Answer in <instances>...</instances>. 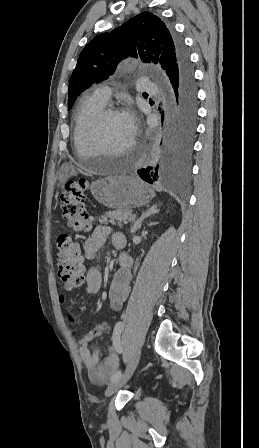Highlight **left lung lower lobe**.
<instances>
[{"label":"left lung lower lobe","mask_w":259,"mask_h":448,"mask_svg":"<svg viewBox=\"0 0 259 448\" xmlns=\"http://www.w3.org/2000/svg\"><path fill=\"white\" fill-rule=\"evenodd\" d=\"M180 54L166 70L176 96L166 148L158 161L137 171L146 182L168 190H180L188 181L196 131L197 91L189 56L180 38L175 37ZM163 119V116H162Z\"/></svg>","instance_id":"obj_1"}]
</instances>
